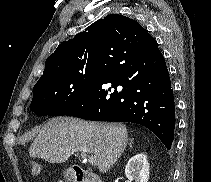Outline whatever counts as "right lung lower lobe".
<instances>
[{"instance_id":"right-lung-lower-lobe-1","label":"right lung lower lobe","mask_w":211,"mask_h":182,"mask_svg":"<svg viewBox=\"0 0 211 182\" xmlns=\"http://www.w3.org/2000/svg\"><path fill=\"white\" fill-rule=\"evenodd\" d=\"M89 87L62 115L141 124L169 150L175 105L168 69L156 40L103 37Z\"/></svg>"}]
</instances>
